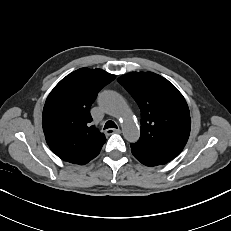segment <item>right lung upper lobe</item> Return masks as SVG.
Here are the masks:
<instances>
[{"mask_svg":"<svg viewBox=\"0 0 231 231\" xmlns=\"http://www.w3.org/2000/svg\"><path fill=\"white\" fill-rule=\"evenodd\" d=\"M114 79L104 70L81 68L51 91L42 125L47 144L59 158L84 165L99 154L106 138L91 124L90 106L100 89Z\"/></svg>","mask_w":231,"mask_h":231,"instance_id":"1","label":"right lung upper lobe"}]
</instances>
